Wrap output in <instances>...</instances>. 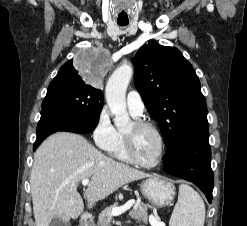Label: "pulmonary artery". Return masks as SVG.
Instances as JSON below:
<instances>
[{
  "instance_id": "1",
  "label": "pulmonary artery",
  "mask_w": 247,
  "mask_h": 226,
  "mask_svg": "<svg viewBox=\"0 0 247 226\" xmlns=\"http://www.w3.org/2000/svg\"><path fill=\"white\" fill-rule=\"evenodd\" d=\"M126 102L129 110L136 116H139L144 111V102L141 95L136 90H131L128 92L126 97Z\"/></svg>"
}]
</instances>
